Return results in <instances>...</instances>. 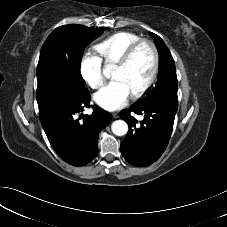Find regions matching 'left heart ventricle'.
<instances>
[{
	"label": "left heart ventricle",
	"mask_w": 227,
	"mask_h": 227,
	"mask_svg": "<svg viewBox=\"0 0 227 227\" xmlns=\"http://www.w3.org/2000/svg\"><path fill=\"white\" fill-rule=\"evenodd\" d=\"M152 67V51L149 46L142 45L126 67L114 68L112 78L123 82L130 94H133L146 83L151 75Z\"/></svg>",
	"instance_id": "1"
}]
</instances>
